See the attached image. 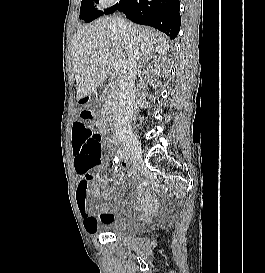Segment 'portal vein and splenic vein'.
<instances>
[{"mask_svg": "<svg viewBox=\"0 0 265 273\" xmlns=\"http://www.w3.org/2000/svg\"><path fill=\"white\" fill-rule=\"evenodd\" d=\"M123 66H124V64H123V62L122 61H115L114 63H113V68L116 70V71H119V70H121L122 68H123Z\"/></svg>", "mask_w": 265, "mask_h": 273, "instance_id": "obj_1", "label": "portal vein and splenic vein"}]
</instances>
